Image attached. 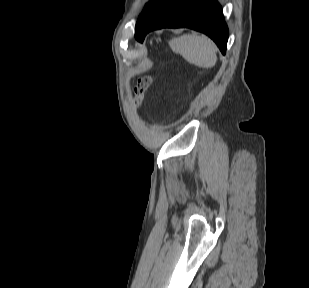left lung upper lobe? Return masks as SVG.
I'll use <instances>...</instances> for the list:
<instances>
[{
	"label": "left lung upper lobe",
	"instance_id": "5c2ea615",
	"mask_svg": "<svg viewBox=\"0 0 309 288\" xmlns=\"http://www.w3.org/2000/svg\"><path fill=\"white\" fill-rule=\"evenodd\" d=\"M158 1L159 0H151L150 2L147 3V5L145 6L144 11L141 13V15L139 16V18L137 20L136 27H135V33L139 30V28L141 27L143 21L145 20L147 15L150 13L152 8L155 6V4Z\"/></svg>",
	"mask_w": 309,
	"mask_h": 288
}]
</instances>
